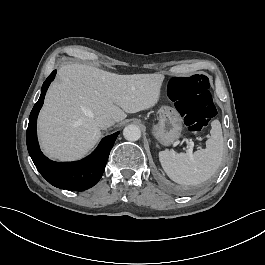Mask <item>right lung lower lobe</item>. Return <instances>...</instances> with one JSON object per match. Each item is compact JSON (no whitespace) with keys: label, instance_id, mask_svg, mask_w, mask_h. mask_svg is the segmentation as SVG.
<instances>
[{"label":"right lung lower lobe","instance_id":"1","mask_svg":"<svg viewBox=\"0 0 265 265\" xmlns=\"http://www.w3.org/2000/svg\"><path fill=\"white\" fill-rule=\"evenodd\" d=\"M55 75L56 70L43 83L40 98L30 113L26 135L28 152L38 171L53 186L71 191L86 190L94 186L101 178L110 150L119 132L103 138L96 150L80 161L58 163L45 157L37 141L36 122L46 91Z\"/></svg>","mask_w":265,"mask_h":265}]
</instances>
